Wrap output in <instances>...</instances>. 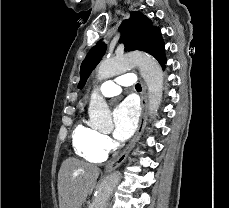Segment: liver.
Wrapping results in <instances>:
<instances>
[{"mask_svg":"<svg viewBox=\"0 0 229 208\" xmlns=\"http://www.w3.org/2000/svg\"><path fill=\"white\" fill-rule=\"evenodd\" d=\"M100 168L76 158L64 160L58 174L59 208H81L92 194Z\"/></svg>","mask_w":229,"mask_h":208,"instance_id":"1","label":"liver"}]
</instances>
